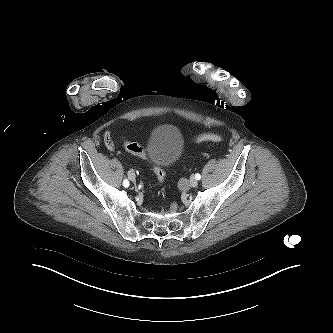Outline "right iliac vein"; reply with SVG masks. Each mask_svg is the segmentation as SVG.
<instances>
[{
    "mask_svg": "<svg viewBox=\"0 0 333 333\" xmlns=\"http://www.w3.org/2000/svg\"><path fill=\"white\" fill-rule=\"evenodd\" d=\"M128 177L131 181H135L136 175L133 169H130L128 172Z\"/></svg>",
    "mask_w": 333,
    "mask_h": 333,
    "instance_id": "63e3f726",
    "label": "right iliac vein"
}]
</instances>
